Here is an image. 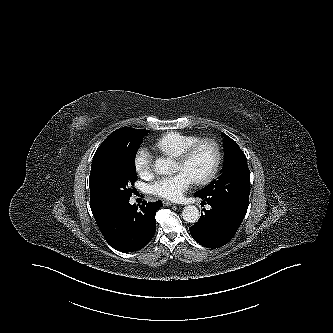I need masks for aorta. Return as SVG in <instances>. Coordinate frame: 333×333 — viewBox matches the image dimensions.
<instances>
[{
    "label": "aorta",
    "instance_id": "aorta-1",
    "mask_svg": "<svg viewBox=\"0 0 333 333\" xmlns=\"http://www.w3.org/2000/svg\"><path fill=\"white\" fill-rule=\"evenodd\" d=\"M155 171L159 174H171L175 171V162L171 159L159 158L154 164ZM183 219L188 223H195L200 217L199 210L194 205L185 206L182 211Z\"/></svg>",
    "mask_w": 333,
    "mask_h": 333
}]
</instances>
